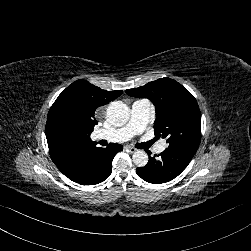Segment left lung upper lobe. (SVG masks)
<instances>
[{
  "label": "left lung upper lobe",
  "mask_w": 251,
  "mask_h": 251,
  "mask_svg": "<svg viewBox=\"0 0 251 251\" xmlns=\"http://www.w3.org/2000/svg\"><path fill=\"white\" fill-rule=\"evenodd\" d=\"M131 97L148 98L156 107L154 132L166 138L168 147L196 152L201 141V115L196 99L177 81L161 78L128 89Z\"/></svg>",
  "instance_id": "5c2ea615"
}]
</instances>
